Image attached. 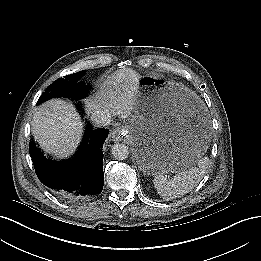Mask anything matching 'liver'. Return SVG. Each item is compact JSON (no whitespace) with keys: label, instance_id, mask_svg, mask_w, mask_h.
<instances>
[{"label":"liver","instance_id":"1","mask_svg":"<svg viewBox=\"0 0 261 261\" xmlns=\"http://www.w3.org/2000/svg\"><path fill=\"white\" fill-rule=\"evenodd\" d=\"M141 75L131 68L116 71L103 83L102 90L86 99L89 112L107 109L128 118L135 112ZM82 122L75 108L59 99L39 107L32 119V129L41 148L56 158L71 155L82 135Z\"/></svg>","mask_w":261,"mask_h":261}]
</instances>
